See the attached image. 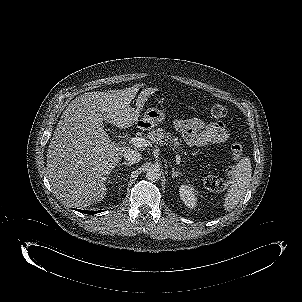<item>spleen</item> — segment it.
<instances>
[{
    "instance_id": "obj_1",
    "label": "spleen",
    "mask_w": 302,
    "mask_h": 302,
    "mask_svg": "<svg viewBox=\"0 0 302 302\" xmlns=\"http://www.w3.org/2000/svg\"><path fill=\"white\" fill-rule=\"evenodd\" d=\"M251 175L250 159L244 157L236 165L233 184L225 194L223 206L226 210L233 209L240 202L250 184Z\"/></svg>"
}]
</instances>
